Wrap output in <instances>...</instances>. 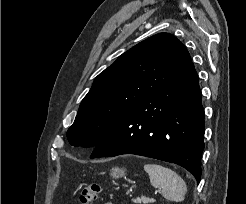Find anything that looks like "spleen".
Here are the masks:
<instances>
[{"instance_id": "1", "label": "spleen", "mask_w": 246, "mask_h": 204, "mask_svg": "<svg viewBox=\"0 0 246 204\" xmlns=\"http://www.w3.org/2000/svg\"><path fill=\"white\" fill-rule=\"evenodd\" d=\"M144 170L148 173L153 187L161 188L162 196L168 201L181 202L185 199L187 185L175 171L158 164H146Z\"/></svg>"}]
</instances>
